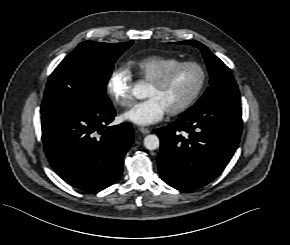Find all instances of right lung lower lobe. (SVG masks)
Here are the masks:
<instances>
[{"mask_svg":"<svg viewBox=\"0 0 290 245\" xmlns=\"http://www.w3.org/2000/svg\"><path fill=\"white\" fill-rule=\"evenodd\" d=\"M115 115L111 105L41 116L46 156L63 180L90 191L118 180L134 133L129 123L107 127Z\"/></svg>","mask_w":290,"mask_h":245,"instance_id":"98d812e1","label":"right lung lower lobe"}]
</instances>
